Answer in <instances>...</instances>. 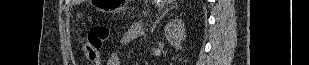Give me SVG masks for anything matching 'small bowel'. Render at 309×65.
I'll return each instance as SVG.
<instances>
[{
    "label": "small bowel",
    "mask_w": 309,
    "mask_h": 65,
    "mask_svg": "<svg viewBox=\"0 0 309 65\" xmlns=\"http://www.w3.org/2000/svg\"><path fill=\"white\" fill-rule=\"evenodd\" d=\"M143 34V27L136 23L130 26L119 38L118 46L124 47L140 37ZM107 65H122L121 58L118 54H111L108 58Z\"/></svg>",
    "instance_id": "c3829d8e"
}]
</instances>
